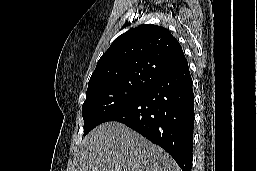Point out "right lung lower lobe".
Instances as JSON below:
<instances>
[{
  "mask_svg": "<svg viewBox=\"0 0 257 171\" xmlns=\"http://www.w3.org/2000/svg\"><path fill=\"white\" fill-rule=\"evenodd\" d=\"M121 122L165 149L191 171L194 94L188 65L147 86L106 120Z\"/></svg>",
  "mask_w": 257,
  "mask_h": 171,
  "instance_id": "right-lung-lower-lobe-1",
  "label": "right lung lower lobe"
}]
</instances>
